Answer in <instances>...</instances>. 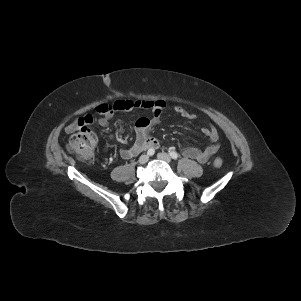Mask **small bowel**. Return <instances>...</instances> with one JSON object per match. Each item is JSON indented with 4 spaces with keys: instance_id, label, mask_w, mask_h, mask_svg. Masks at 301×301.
Returning a JSON list of instances; mask_svg holds the SVG:
<instances>
[{
    "instance_id": "obj_1",
    "label": "small bowel",
    "mask_w": 301,
    "mask_h": 301,
    "mask_svg": "<svg viewBox=\"0 0 301 301\" xmlns=\"http://www.w3.org/2000/svg\"><path fill=\"white\" fill-rule=\"evenodd\" d=\"M166 103L163 100H126L120 99L114 101L112 104H103L97 108V112L100 114L98 124L101 127H107L113 114L117 111H132L135 109H149L152 113V117H140L134 124V130L136 139L134 144L129 148L120 150V156L123 159H131L141 151L146 149H158L159 142L156 138L150 135V128L156 125L159 120ZM175 112L186 119H194L195 115L181 106L175 107ZM94 122V118L91 115H85L74 122L68 124L65 128L66 133H72L91 125ZM202 133L209 141L208 145L204 149L196 147H187L183 150V155L198 161L199 163H205L213 156L219 149L218 145V132L215 128H202Z\"/></svg>"
}]
</instances>
